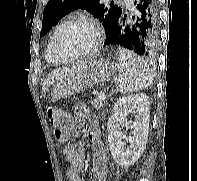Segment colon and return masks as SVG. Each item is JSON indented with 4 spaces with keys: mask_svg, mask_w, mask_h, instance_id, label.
<instances>
[{
    "mask_svg": "<svg viewBox=\"0 0 197 181\" xmlns=\"http://www.w3.org/2000/svg\"><path fill=\"white\" fill-rule=\"evenodd\" d=\"M47 115L55 136L58 139L65 138L68 134L70 117L66 113L55 110L52 107L48 108Z\"/></svg>",
    "mask_w": 197,
    "mask_h": 181,
    "instance_id": "obj_1",
    "label": "colon"
}]
</instances>
